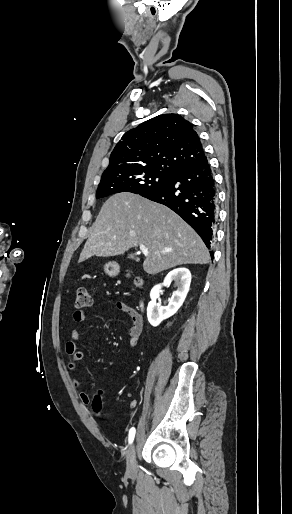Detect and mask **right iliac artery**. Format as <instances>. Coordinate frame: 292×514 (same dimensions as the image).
<instances>
[{
    "label": "right iliac artery",
    "mask_w": 292,
    "mask_h": 514,
    "mask_svg": "<svg viewBox=\"0 0 292 514\" xmlns=\"http://www.w3.org/2000/svg\"><path fill=\"white\" fill-rule=\"evenodd\" d=\"M135 432H136V430H135V428H134V427H132V428L129 430V435H128V442H129V444H131V443L133 442V440H134V436H135Z\"/></svg>",
    "instance_id": "obj_1"
}]
</instances>
